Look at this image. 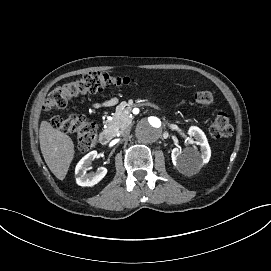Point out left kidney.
<instances>
[{
	"label": "left kidney",
	"mask_w": 271,
	"mask_h": 271,
	"mask_svg": "<svg viewBox=\"0 0 271 271\" xmlns=\"http://www.w3.org/2000/svg\"><path fill=\"white\" fill-rule=\"evenodd\" d=\"M190 135H195L198 144L201 146L200 152L194 149L187 153L178 148L172 150V162L177 170L185 175L192 174L202 164H206L211 158V147L208 139L202 129L198 126H191L189 129Z\"/></svg>",
	"instance_id": "1"
}]
</instances>
